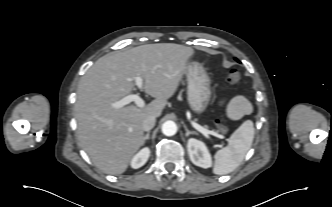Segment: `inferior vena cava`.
Segmentation results:
<instances>
[{
	"instance_id": "obj_1",
	"label": "inferior vena cava",
	"mask_w": 332,
	"mask_h": 207,
	"mask_svg": "<svg viewBox=\"0 0 332 207\" xmlns=\"http://www.w3.org/2000/svg\"><path fill=\"white\" fill-rule=\"evenodd\" d=\"M156 118L154 116H148L143 120V130L150 131L155 126Z\"/></svg>"
}]
</instances>
